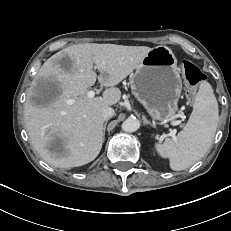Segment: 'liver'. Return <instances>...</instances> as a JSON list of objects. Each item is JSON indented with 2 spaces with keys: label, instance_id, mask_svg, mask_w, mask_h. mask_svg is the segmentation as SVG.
Masks as SVG:
<instances>
[{
  "label": "liver",
  "instance_id": "1",
  "mask_svg": "<svg viewBox=\"0 0 231 231\" xmlns=\"http://www.w3.org/2000/svg\"><path fill=\"white\" fill-rule=\"evenodd\" d=\"M151 49L77 44L57 52L41 66L25 102L24 119L31 143L45 162L72 168L98 156L103 143L102 109L119 102L121 91L115 86L137 68ZM93 65L100 72L98 77ZM97 78L109 88L102 97L89 99L87 89ZM39 81L57 86L54 97L43 105L32 102Z\"/></svg>",
  "mask_w": 231,
  "mask_h": 231
}]
</instances>
